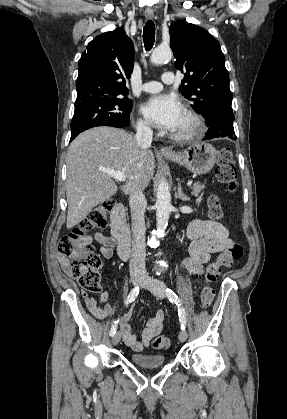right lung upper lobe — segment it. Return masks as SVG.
Returning <instances> with one entry per match:
<instances>
[{"instance_id": "1", "label": "right lung upper lobe", "mask_w": 287, "mask_h": 419, "mask_svg": "<svg viewBox=\"0 0 287 419\" xmlns=\"http://www.w3.org/2000/svg\"><path fill=\"white\" fill-rule=\"evenodd\" d=\"M133 60V43L122 27L95 37L79 60L75 108L128 94Z\"/></svg>"}]
</instances>
